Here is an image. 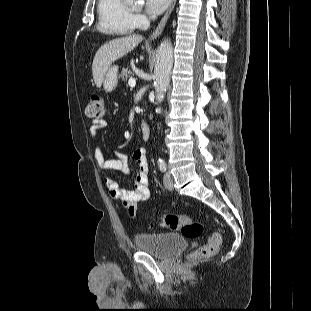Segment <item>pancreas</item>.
I'll list each match as a JSON object with an SVG mask.
<instances>
[{
    "label": "pancreas",
    "instance_id": "pancreas-1",
    "mask_svg": "<svg viewBox=\"0 0 311 311\" xmlns=\"http://www.w3.org/2000/svg\"><path fill=\"white\" fill-rule=\"evenodd\" d=\"M132 71L130 70L129 67L127 68H123L122 71H121V74L119 75V77L122 79V80H127L131 75H132Z\"/></svg>",
    "mask_w": 311,
    "mask_h": 311
}]
</instances>
